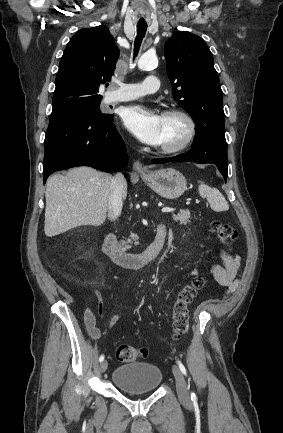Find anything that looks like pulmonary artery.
I'll use <instances>...</instances> for the list:
<instances>
[{"label": "pulmonary artery", "mask_w": 283, "mask_h": 433, "mask_svg": "<svg viewBox=\"0 0 283 433\" xmlns=\"http://www.w3.org/2000/svg\"><path fill=\"white\" fill-rule=\"evenodd\" d=\"M160 84L161 81L157 78V74L150 72L148 77L142 80V88H140V83H125L123 88L118 90V94L109 95L106 100L108 104H114L144 97L146 94L157 92Z\"/></svg>", "instance_id": "pulmonary-artery-1"}]
</instances>
